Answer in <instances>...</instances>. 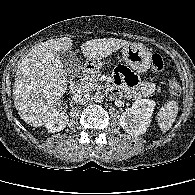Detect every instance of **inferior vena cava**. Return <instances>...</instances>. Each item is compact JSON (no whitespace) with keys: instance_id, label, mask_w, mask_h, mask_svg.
Listing matches in <instances>:
<instances>
[{"instance_id":"obj_1","label":"inferior vena cava","mask_w":195,"mask_h":195,"mask_svg":"<svg viewBox=\"0 0 195 195\" xmlns=\"http://www.w3.org/2000/svg\"><path fill=\"white\" fill-rule=\"evenodd\" d=\"M91 98V92L88 89H80L73 95V100L76 103L84 104Z\"/></svg>"}]
</instances>
